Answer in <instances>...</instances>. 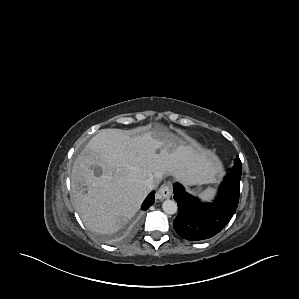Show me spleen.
I'll return each mask as SVG.
<instances>
[{
	"label": "spleen",
	"instance_id": "3e777b00",
	"mask_svg": "<svg viewBox=\"0 0 299 299\" xmlns=\"http://www.w3.org/2000/svg\"><path fill=\"white\" fill-rule=\"evenodd\" d=\"M212 192H213V190L209 188L206 191H204V193L202 194V197H204V198L210 197Z\"/></svg>",
	"mask_w": 299,
	"mask_h": 299
}]
</instances>
